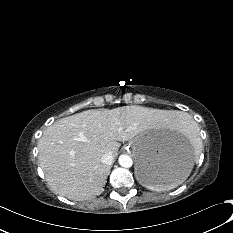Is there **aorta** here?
<instances>
[{"mask_svg":"<svg viewBox=\"0 0 233 233\" xmlns=\"http://www.w3.org/2000/svg\"><path fill=\"white\" fill-rule=\"evenodd\" d=\"M118 162L124 168H130L133 165L132 158L129 155H120Z\"/></svg>","mask_w":233,"mask_h":233,"instance_id":"obj_1","label":"aorta"}]
</instances>
